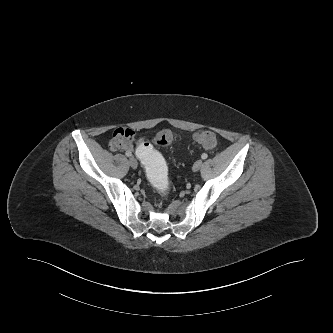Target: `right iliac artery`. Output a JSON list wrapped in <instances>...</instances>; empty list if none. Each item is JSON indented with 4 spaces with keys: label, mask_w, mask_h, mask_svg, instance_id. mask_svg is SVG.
<instances>
[{
    "label": "right iliac artery",
    "mask_w": 333,
    "mask_h": 333,
    "mask_svg": "<svg viewBox=\"0 0 333 333\" xmlns=\"http://www.w3.org/2000/svg\"><path fill=\"white\" fill-rule=\"evenodd\" d=\"M125 155H126L127 157H131V156H132V152L127 151V152L125 153Z\"/></svg>",
    "instance_id": "82829eb1"
}]
</instances>
